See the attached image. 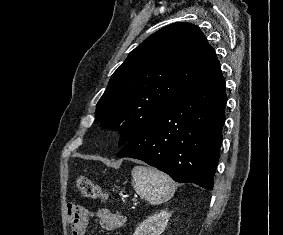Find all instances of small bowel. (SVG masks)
I'll use <instances>...</instances> for the list:
<instances>
[{"label":"small bowel","mask_w":283,"mask_h":235,"mask_svg":"<svg viewBox=\"0 0 283 235\" xmlns=\"http://www.w3.org/2000/svg\"><path fill=\"white\" fill-rule=\"evenodd\" d=\"M67 220L70 223V235H85L86 226L91 216V212L86 208L68 204L66 207ZM99 223L105 231H113L122 227L126 217L122 214L111 213L106 210L96 212Z\"/></svg>","instance_id":"small-bowel-1"}]
</instances>
